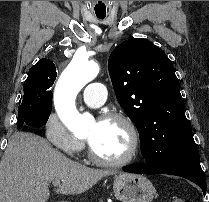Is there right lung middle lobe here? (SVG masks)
<instances>
[{"instance_id": "1", "label": "right lung middle lobe", "mask_w": 209, "mask_h": 202, "mask_svg": "<svg viewBox=\"0 0 209 202\" xmlns=\"http://www.w3.org/2000/svg\"><path fill=\"white\" fill-rule=\"evenodd\" d=\"M55 76L36 75L26 79L19 101L18 129L24 124L45 125L51 113L52 88Z\"/></svg>"}]
</instances>
